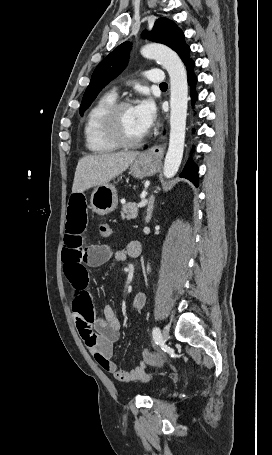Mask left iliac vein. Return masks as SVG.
<instances>
[{
  "label": "left iliac vein",
  "instance_id": "1",
  "mask_svg": "<svg viewBox=\"0 0 272 455\" xmlns=\"http://www.w3.org/2000/svg\"><path fill=\"white\" fill-rule=\"evenodd\" d=\"M169 337H170L169 327L164 326V328L162 330V338L166 342L169 339Z\"/></svg>",
  "mask_w": 272,
  "mask_h": 455
}]
</instances>
